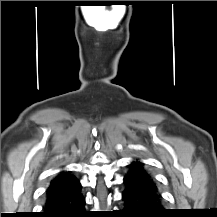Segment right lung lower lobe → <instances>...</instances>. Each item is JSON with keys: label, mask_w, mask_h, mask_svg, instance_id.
Returning <instances> with one entry per match:
<instances>
[{"label": "right lung lower lobe", "mask_w": 217, "mask_h": 217, "mask_svg": "<svg viewBox=\"0 0 217 217\" xmlns=\"http://www.w3.org/2000/svg\"><path fill=\"white\" fill-rule=\"evenodd\" d=\"M81 186L69 193L47 198L44 211L38 217H89L85 211V198Z\"/></svg>", "instance_id": "obj_1"}]
</instances>
